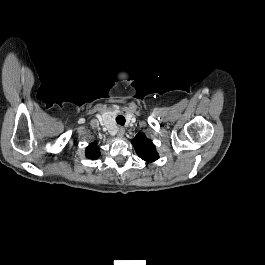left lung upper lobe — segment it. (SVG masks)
<instances>
[{
	"mask_svg": "<svg viewBox=\"0 0 265 265\" xmlns=\"http://www.w3.org/2000/svg\"><path fill=\"white\" fill-rule=\"evenodd\" d=\"M137 155L146 162H154L159 158L155 145L145 134L138 133L132 141Z\"/></svg>",
	"mask_w": 265,
	"mask_h": 265,
	"instance_id": "left-lung-upper-lobe-1",
	"label": "left lung upper lobe"
}]
</instances>
